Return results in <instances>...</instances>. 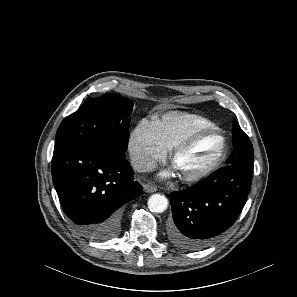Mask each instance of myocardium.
Here are the masks:
<instances>
[{
	"mask_svg": "<svg viewBox=\"0 0 297 297\" xmlns=\"http://www.w3.org/2000/svg\"><path fill=\"white\" fill-rule=\"evenodd\" d=\"M214 134L217 135L220 138L221 141V150L216 157V159L204 170L192 174V175H186L182 176L180 175V178L185 183H196L199 182L208 176H210L212 173H214L220 165L223 163V161L226 158L227 154V140L223 133L216 127L214 128H202L195 130L191 132L189 135H187L185 138H183L180 142H178L171 150L170 153V162L173 164L175 159L180 155L182 152L186 151L188 148H190L199 138L205 136Z\"/></svg>",
	"mask_w": 297,
	"mask_h": 297,
	"instance_id": "obj_1",
	"label": "myocardium"
}]
</instances>
